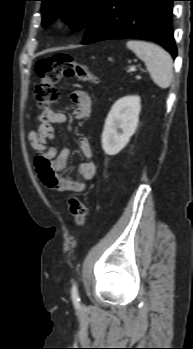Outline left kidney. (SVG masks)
Returning a JSON list of instances; mask_svg holds the SVG:
<instances>
[{
  "instance_id": "5707ae66",
  "label": "left kidney",
  "mask_w": 193,
  "mask_h": 349,
  "mask_svg": "<svg viewBox=\"0 0 193 349\" xmlns=\"http://www.w3.org/2000/svg\"><path fill=\"white\" fill-rule=\"evenodd\" d=\"M141 110L140 97L125 96L112 106L102 133V148L107 155L118 154L135 133Z\"/></svg>"
}]
</instances>
